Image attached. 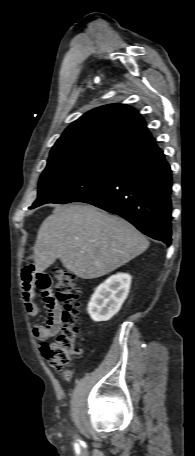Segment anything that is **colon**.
<instances>
[{"mask_svg": "<svg viewBox=\"0 0 195 456\" xmlns=\"http://www.w3.org/2000/svg\"><path fill=\"white\" fill-rule=\"evenodd\" d=\"M54 276L62 326L57 336L50 342H44L40 350L51 367L56 370H63L77 353L80 342L78 329L79 285L76 276L64 268H55ZM64 376L66 379H70L71 373L65 371Z\"/></svg>", "mask_w": 195, "mask_h": 456, "instance_id": "5ec220e1", "label": "colon"}]
</instances>
